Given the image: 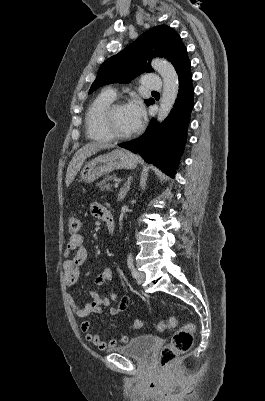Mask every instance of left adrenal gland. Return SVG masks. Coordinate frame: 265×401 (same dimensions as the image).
I'll return each instance as SVG.
<instances>
[{"instance_id":"obj_1","label":"left adrenal gland","mask_w":265,"mask_h":401,"mask_svg":"<svg viewBox=\"0 0 265 401\" xmlns=\"http://www.w3.org/2000/svg\"><path fill=\"white\" fill-rule=\"evenodd\" d=\"M132 178H133V176H128V180H126L124 186H122V188H120V190L118 192L117 201H123V198H125L128 190H130V184H131Z\"/></svg>"}]
</instances>
